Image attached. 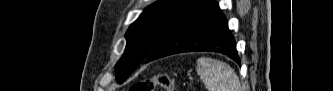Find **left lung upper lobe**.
<instances>
[{"label": "left lung upper lobe", "instance_id": "left-lung-upper-lobe-1", "mask_svg": "<svg viewBox=\"0 0 333 91\" xmlns=\"http://www.w3.org/2000/svg\"><path fill=\"white\" fill-rule=\"evenodd\" d=\"M197 0H158L139 16L126 33L127 45L115 66L116 80L123 83L151 54L171 27Z\"/></svg>", "mask_w": 333, "mask_h": 91}]
</instances>
